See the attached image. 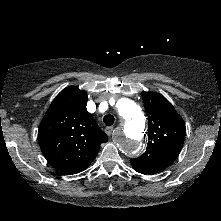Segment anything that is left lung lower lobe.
<instances>
[{
	"label": "left lung lower lobe",
	"instance_id": "1",
	"mask_svg": "<svg viewBox=\"0 0 221 221\" xmlns=\"http://www.w3.org/2000/svg\"><path fill=\"white\" fill-rule=\"evenodd\" d=\"M132 166H133V165H132ZM133 169H134L135 171L139 172V173H142V174H149V173H147L146 171H144L143 169L138 168V167H136V166H133Z\"/></svg>",
	"mask_w": 221,
	"mask_h": 221
}]
</instances>
